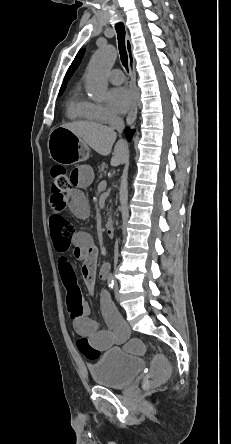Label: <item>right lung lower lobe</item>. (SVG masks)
<instances>
[{"label":"right lung lower lobe","instance_id":"right-lung-lower-lobe-1","mask_svg":"<svg viewBox=\"0 0 231 444\" xmlns=\"http://www.w3.org/2000/svg\"><path fill=\"white\" fill-rule=\"evenodd\" d=\"M133 133H134V131H130L128 129L126 130V136H127L128 140H131Z\"/></svg>","mask_w":231,"mask_h":444}]
</instances>
